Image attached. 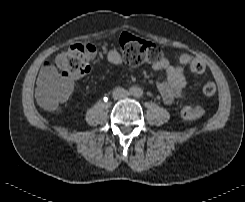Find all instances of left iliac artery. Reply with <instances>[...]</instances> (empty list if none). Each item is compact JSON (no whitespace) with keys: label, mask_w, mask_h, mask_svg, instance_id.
<instances>
[{"label":"left iliac artery","mask_w":245,"mask_h":202,"mask_svg":"<svg viewBox=\"0 0 245 202\" xmlns=\"http://www.w3.org/2000/svg\"><path fill=\"white\" fill-rule=\"evenodd\" d=\"M142 94H143V92H142L141 90H138V92L136 93V96H137V97H141Z\"/></svg>","instance_id":"left-iliac-artery-1"}]
</instances>
